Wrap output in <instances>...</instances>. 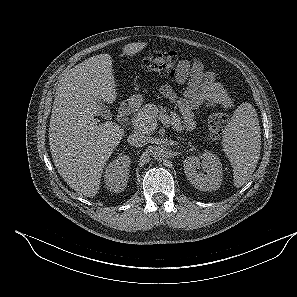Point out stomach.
<instances>
[{
    "instance_id": "obj_1",
    "label": "stomach",
    "mask_w": 297,
    "mask_h": 297,
    "mask_svg": "<svg viewBox=\"0 0 297 297\" xmlns=\"http://www.w3.org/2000/svg\"><path fill=\"white\" fill-rule=\"evenodd\" d=\"M131 101L132 102H136V103H140L142 101V96L141 95H136V96H133L131 98Z\"/></svg>"
}]
</instances>
